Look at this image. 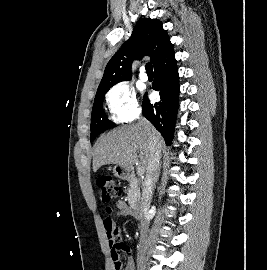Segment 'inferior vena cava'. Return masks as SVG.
<instances>
[{
  "label": "inferior vena cava",
  "instance_id": "inferior-vena-cava-1",
  "mask_svg": "<svg viewBox=\"0 0 267 270\" xmlns=\"http://www.w3.org/2000/svg\"><path fill=\"white\" fill-rule=\"evenodd\" d=\"M139 124L147 130L150 141V158L146 168V177L143 183L142 197L139 205V212L141 215L140 243L143 244L147 238L149 228V208L153 189L159 177L161 150L157 144L154 128L150 122L145 117H141Z\"/></svg>",
  "mask_w": 267,
  "mask_h": 270
}]
</instances>
